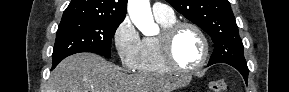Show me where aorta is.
Masks as SVG:
<instances>
[{
  "instance_id": "obj_1",
  "label": "aorta",
  "mask_w": 289,
  "mask_h": 92,
  "mask_svg": "<svg viewBox=\"0 0 289 92\" xmlns=\"http://www.w3.org/2000/svg\"><path fill=\"white\" fill-rule=\"evenodd\" d=\"M128 13L134 25L145 35H152L157 30L149 0H129Z\"/></svg>"
}]
</instances>
